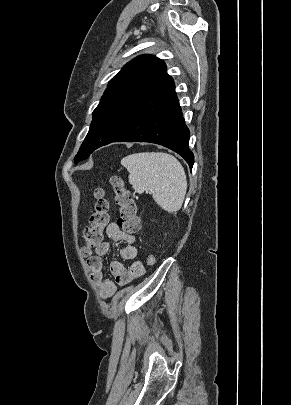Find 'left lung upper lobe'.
<instances>
[{"instance_id":"1","label":"left lung upper lobe","mask_w":291,"mask_h":405,"mask_svg":"<svg viewBox=\"0 0 291 405\" xmlns=\"http://www.w3.org/2000/svg\"><path fill=\"white\" fill-rule=\"evenodd\" d=\"M165 73L166 65L162 60L141 55L110 80L93 112L89 132L74 158L76 164L97 148L112 143L126 130L143 97Z\"/></svg>"}]
</instances>
